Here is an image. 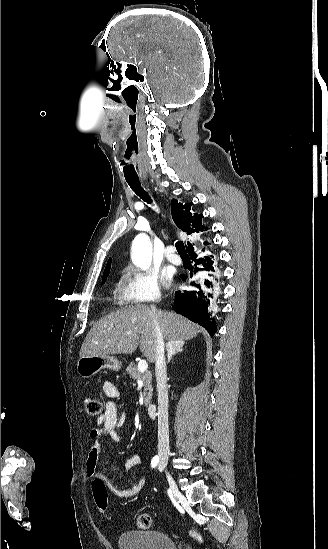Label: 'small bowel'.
Listing matches in <instances>:
<instances>
[{"label": "small bowel", "mask_w": 328, "mask_h": 549, "mask_svg": "<svg viewBox=\"0 0 328 549\" xmlns=\"http://www.w3.org/2000/svg\"><path fill=\"white\" fill-rule=\"evenodd\" d=\"M103 391L109 400L105 403L103 412L96 418V427L92 429L90 436L92 445L86 459V472L89 477L94 479H103L105 477L98 470V461L101 452V439L108 437L114 442L122 440L121 428L126 420L125 414H120L118 411L116 399L119 398V391L114 383L105 381ZM142 463V457L138 454L131 455L125 462L128 470H132L135 466ZM112 491L123 498H131L138 495L145 486V479H139L131 487L122 489L114 484L109 483Z\"/></svg>", "instance_id": "small-bowel-1"}]
</instances>
